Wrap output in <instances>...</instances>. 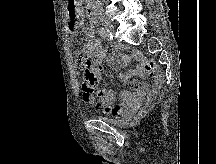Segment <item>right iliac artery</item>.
Masks as SVG:
<instances>
[{"mask_svg":"<svg viewBox=\"0 0 216 164\" xmlns=\"http://www.w3.org/2000/svg\"><path fill=\"white\" fill-rule=\"evenodd\" d=\"M98 33L103 39H106V40L112 39V34L108 31H105L104 28H99Z\"/></svg>","mask_w":216,"mask_h":164,"instance_id":"right-iliac-artery-1","label":"right iliac artery"}]
</instances>
